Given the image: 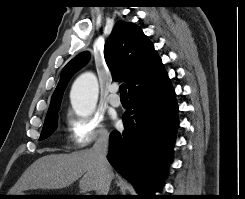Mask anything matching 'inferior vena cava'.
<instances>
[{
    "label": "inferior vena cava",
    "mask_w": 245,
    "mask_h": 199,
    "mask_svg": "<svg viewBox=\"0 0 245 199\" xmlns=\"http://www.w3.org/2000/svg\"><path fill=\"white\" fill-rule=\"evenodd\" d=\"M109 147V133L100 132L92 150L97 158V164L101 175V189L97 195H108L112 180V169L107 160Z\"/></svg>",
    "instance_id": "1"
}]
</instances>
